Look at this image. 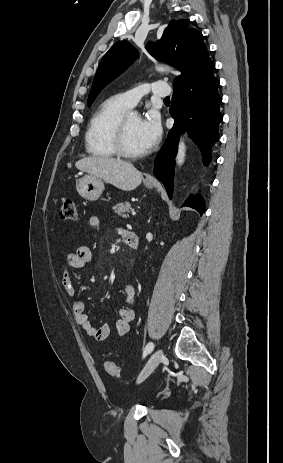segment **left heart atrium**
Here are the masks:
<instances>
[{
    "label": "left heart atrium",
    "instance_id": "1",
    "mask_svg": "<svg viewBox=\"0 0 283 463\" xmlns=\"http://www.w3.org/2000/svg\"><path fill=\"white\" fill-rule=\"evenodd\" d=\"M139 129L144 147L147 150L152 149L159 142L162 132L158 118L150 114L141 119Z\"/></svg>",
    "mask_w": 283,
    "mask_h": 463
}]
</instances>
